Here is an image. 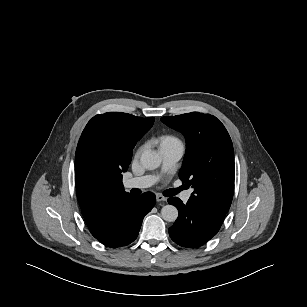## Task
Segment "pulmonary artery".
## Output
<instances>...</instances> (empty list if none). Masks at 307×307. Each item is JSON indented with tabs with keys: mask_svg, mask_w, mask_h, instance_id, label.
Returning <instances> with one entry per match:
<instances>
[{
	"mask_svg": "<svg viewBox=\"0 0 307 307\" xmlns=\"http://www.w3.org/2000/svg\"><path fill=\"white\" fill-rule=\"evenodd\" d=\"M159 153L162 159V170L169 171L180 160L184 153V145L181 142H170L160 145ZM158 177L155 175H144L139 177H133L125 181L126 188H139L144 189L152 186L156 183ZM191 191H186L182 194L181 198L184 202L190 199Z\"/></svg>",
	"mask_w": 307,
	"mask_h": 307,
	"instance_id": "obj_1",
	"label": "pulmonary artery"
}]
</instances>
